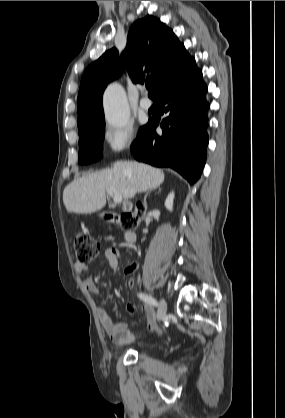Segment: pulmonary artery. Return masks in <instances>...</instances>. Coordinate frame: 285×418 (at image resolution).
Instances as JSON below:
<instances>
[{
	"label": "pulmonary artery",
	"instance_id": "1",
	"mask_svg": "<svg viewBox=\"0 0 285 418\" xmlns=\"http://www.w3.org/2000/svg\"><path fill=\"white\" fill-rule=\"evenodd\" d=\"M144 89V88H143ZM140 107L143 110H149L152 106V102L148 97H142L139 101Z\"/></svg>",
	"mask_w": 285,
	"mask_h": 418
}]
</instances>
